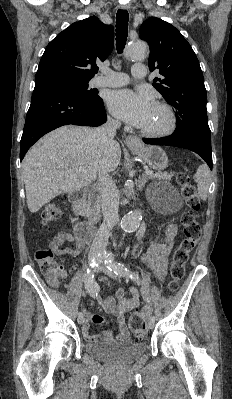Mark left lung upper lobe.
I'll use <instances>...</instances> for the list:
<instances>
[{
    "label": "left lung upper lobe",
    "instance_id": "5c2ea615",
    "mask_svg": "<svg viewBox=\"0 0 232 399\" xmlns=\"http://www.w3.org/2000/svg\"><path fill=\"white\" fill-rule=\"evenodd\" d=\"M140 38L150 46V71L158 69L161 75L153 86L175 108L173 133L211 144L204 78L190 44L174 26L157 17L143 22Z\"/></svg>",
    "mask_w": 232,
    "mask_h": 399
}]
</instances>
